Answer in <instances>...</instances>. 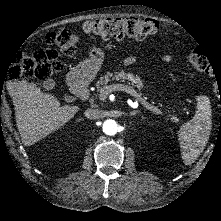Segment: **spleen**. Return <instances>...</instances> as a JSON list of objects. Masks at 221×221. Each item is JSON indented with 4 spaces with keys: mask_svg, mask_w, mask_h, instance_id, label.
I'll use <instances>...</instances> for the list:
<instances>
[{
    "mask_svg": "<svg viewBox=\"0 0 221 221\" xmlns=\"http://www.w3.org/2000/svg\"><path fill=\"white\" fill-rule=\"evenodd\" d=\"M212 129L210 102L200 96L193 119L181 126L178 132L181 155L185 165L194 163L203 152Z\"/></svg>",
    "mask_w": 221,
    "mask_h": 221,
    "instance_id": "3e777b00",
    "label": "spleen"
}]
</instances>
